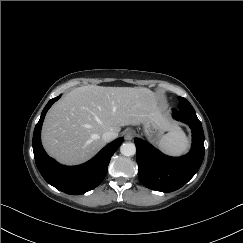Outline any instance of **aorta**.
<instances>
[{"instance_id": "aorta-1", "label": "aorta", "mask_w": 243, "mask_h": 243, "mask_svg": "<svg viewBox=\"0 0 243 243\" xmlns=\"http://www.w3.org/2000/svg\"><path fill=\"white\" fill-rule=\"evenodd\" d=\"M120 152L122 155H124L126 157L135 155V153H136L135 144L131 143V142L123 143L120 147Z\"/></svg>"}]
</instances>
